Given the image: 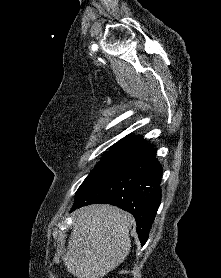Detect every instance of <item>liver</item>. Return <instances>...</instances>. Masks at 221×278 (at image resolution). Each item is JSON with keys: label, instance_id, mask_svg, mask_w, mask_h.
<instances>
[{"label": "liver", "instance_id": "liver-1", "mask_svg": "<svg viewBox=\"0 0 221 278\" xmlns=\"http://www.w3.org/2000/svg\"><path fill=\"white\" fill-rule=\"evenodd\" d=\"M134 217L111 205H91L76 211L64 264L77 278H103L118 267L131 248Z\"/></svg>", "mask_w": 221, "mask_h": 278}]
</instances>
